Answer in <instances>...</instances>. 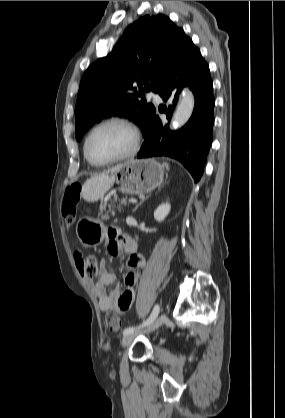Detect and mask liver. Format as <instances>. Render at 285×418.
Wrapping results in <instances>:
<instances>
[{
  "instance_id": "1",
  "label": "liver",
  "mask_w": 285,
  "mask_h": 418,
  "mask_svg": "<svg viewBox=\"0 0 285 418\" xmlns=\"http://www.w3.org/2000/svg\"><path fill=\"white\" fill-rule=\"evenodd\" d=\"M118 168L119 166H116L109 171L87 179L82 185V197L89 202L97 201L102 198L104 194L113 186L115 182L113 173Z\"/></svg>"
}]
</instances>
